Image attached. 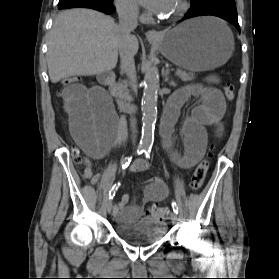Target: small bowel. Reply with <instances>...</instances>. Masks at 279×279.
<instances>
[{"label":"small bowel","mask_w":279,"mask_h":279,"mask_svg":"<svg viewBox=\"0 0 279 279\" xmlns=\"http://www.w3.org/2000/svg\"><path fill=\"white\" fill-rule=\"evenodd\" d=\"M190 95H200L203 101L184 123V155L179 157L172 154L173 159L184 168L192 167L204 154L208 141L206 126H214L216 135H222V119L226 109L225 100L218 89L193 85L178 91L168 102L163 115L162 134L166 146L170 145V134L179 109ZM62 99L76 143L94 159L109 155L118 143L121 121L106 92L100 87L87 88L82 84H73L64 88ZM148 168L149 164L142 159L134 161L130 167L132 172H143ZM82 177L92 184L99 180L91 166L84 169ZM168 194L169 189L161 178H151L147 181L143 202L162 201ZM127 202L128 196L122 195L113 211L115 219L123 224H131L143 214L138 205H127Z\"/></svg>","instance_id":"c3829d8e"}]
</instances>
